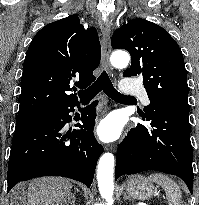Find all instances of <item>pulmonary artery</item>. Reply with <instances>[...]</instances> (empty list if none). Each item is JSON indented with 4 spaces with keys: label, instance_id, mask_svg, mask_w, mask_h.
Masks as SVG:
<instances>
[{
    "label": "pulmonary artery",
    "instance_id": "1",
    "mask_svg": "<svg viewBox=\"0 0 199 205\" xmlns=\"http://www.w3.org/2000/svg\"><path fill=\"white\" fill-rule=\"evenodd\" d=\"M122 90L125 93L137 95L140 98L142 104L145 105V106H147L150 103V100H149V97H148L146 91L142 88H138V87H135V86H126V85H124L122 87Z\"/></svg>",
    "mask_w": 199,
    "mask_h": 205
}]
</instances>
